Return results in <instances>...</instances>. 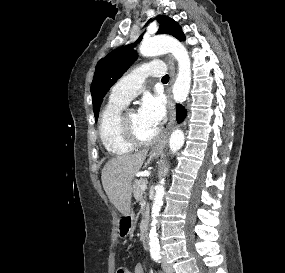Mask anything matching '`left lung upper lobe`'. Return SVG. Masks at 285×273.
<instances>
[{
  "instance_id": "left-lung-upper-lobe-1",
  "label": "left lung upper lobe",
  "mask_w": 285,
  "mask_h": 273,
  "mask_svg": "<svg viewBox=\"0 0 285 273\" xmlns=\"http://www.w3.org/2000/svg\"><path fill=\"white\" fill-rule=\"evenodd\" d=\"M156 19L160 24L157 32L158 34H169L173 35L180 41L184 40V34L177 22L162 15H158ZM141 39L142 36L139 37L137 42ZM134 46L135 44L119 47L98 62L91 85L93 111L96 121L98 119L99 108L105 94L136 60L137 53L133 49Z\"/></svg>"
}]
</instances>
